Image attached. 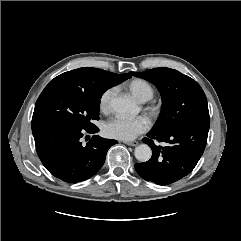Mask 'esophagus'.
<instances>
[{
	"mask_svg": "<svg viewBox=\"0 0 241 241\" xmlns=\"http://www.w3.org/2000/svg\"><path fill=\"white\" fill-rule=\"evenodd\" d=\"M124 143L129 146H137L138 145L137 141H125Z\"/></svg>",
	"mask_w": 241,
	"mask_h": 241,
	"instance_id": "esophagus-1",
	"label": "esophagus"
}]
</instances>
